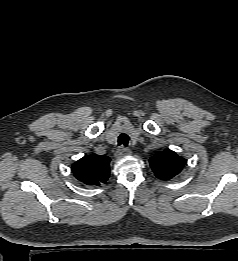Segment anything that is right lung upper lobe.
Listing matches in <instances>:
<instances>
[{
	"label": "right lung upper lobe",
	"instance_id": "right-lung-upper-lobe-1",
	"mask_svg": "<svg viewBox=\"0 0 238 261\" xmlns=\"http://www.w3.org/2000/svg\"><path fill=\"white\" fill-rule=\"evenodd\" d=\"M110 158L105 155L84 156L72 165L74 176L87 185L98 186L109 177Z\"/></svg>",
	"mask_w": 238,
	"mask_h": 261
}]
</instances>
